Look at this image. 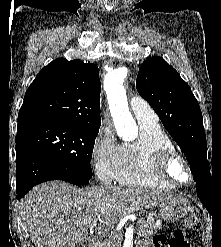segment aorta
Here are the masks:
<instances>
[{"mask_svg":"<svg viewBox=\"0 0 221 247\" xmlns=\"http://www.w3.org/2000/svg\"><path fill=\"white\" fill-rule=\"evenodd\" d=\"M126 68L113 70L106 74L104 90L107 95L109 109L113 117L117 133L122 138L137 135L136 123L129 112L126 91L123 86Z\"/></svg>","mask_w":221,"mask_h":247,"instance_id":"762f6f07","label":"aorta"}]
</instances>
